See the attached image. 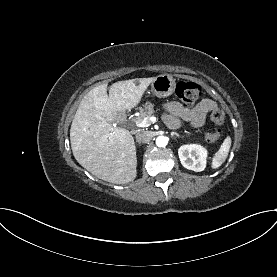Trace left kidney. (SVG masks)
<instances>
[{"label":"left kidney","mask_w":277,"mask_h":277,"mask_svg":"<svg viewBox=\"0 0 277 277\" xmlns=\"http://www.w3.org/2000/svg\"><path fill=\"white\" fill-rule=\"evenodd\" d=\"M181 164L196 172L203 171L206 167L207 150L198 144L183 145L178 150Z\"/></svg>","instance_id":"5707ae66"}]
</instances>
